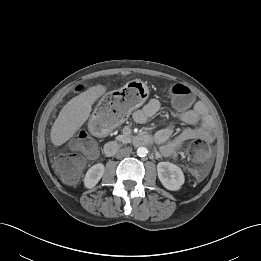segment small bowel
Returning <instances> with one entry per match:
<instances>
[{"instance_id": "1", "label": "small bowel", "mask_w": 261, "mask_h": 261, "mask_svg": "<svg viewBox=\"0 0 261 261\" xmlns=\"http://www.w3.org/2000/svg\"><path fill=\"white\" fill-rule=\"evenodd\" d=\"M161 104L158 99H151L142 109L133 114L136 123L144 124L155 116L160 110ZM204 105L197 102L192 109L179 113V118L191 125L184 129L176 137L172 138L173 130L165 127L155 135V142L159 145L160 153L165 157H176L181 147L193 139L213 141L215 138L214 124L209 116L203 114Z\"/></svg>"}]
</instances>
